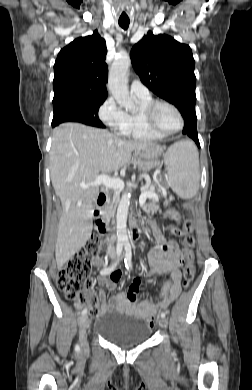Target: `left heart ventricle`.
<instances>
[{
    "label": "left heart ventricle",
    "mask_w": 252,
    "mask_h": 390,
    "mask_svg": "<svg viewBox=\"0 0 252 390\" xmlns=\"http://www.w3.org/2000/svg\"><path fill=\"white\" fill-rule=\"evenodd\" d=\"M155 120L158 127L166 131L174 130L179 125L177 114L170 107L165 105L158 108Z\"/></svg>",
    "instance_id": "left-heart-ventricle-1"
}]
</instances>
